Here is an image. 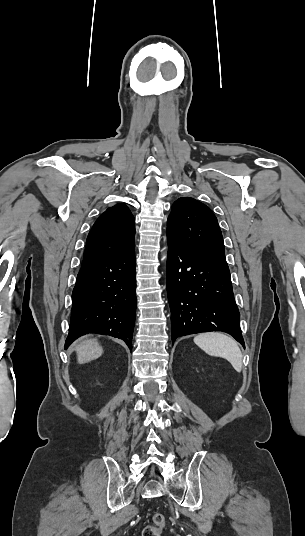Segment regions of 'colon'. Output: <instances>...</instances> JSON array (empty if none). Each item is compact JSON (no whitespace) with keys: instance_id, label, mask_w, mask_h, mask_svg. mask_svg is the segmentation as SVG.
<instances>
[{"instance_id":"5ec220e1","label":"colon","mask_w":305,"mask_h":536,"mask_svg":"<svg viewBox=\"0 0 305 536\" xmlns=\"http://www.w3.org/2000/svg\"><path fill=\"white\" fill-rule=\"evenodd\" d=\"M152 524L143 529L142 536H162L166 526V517L163 514H153Z\"/></svg>"}]
</instances>
